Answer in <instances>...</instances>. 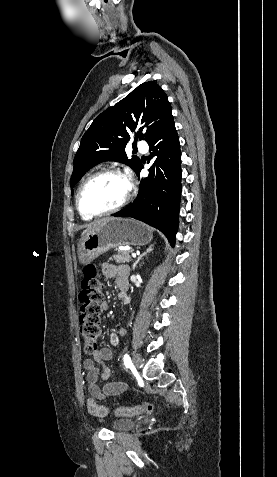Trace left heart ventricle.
<instances>
[{
    "mask_svg": "<svg viewBox=\"0 0 277 477\" xmlns=\"http://www.w3.org/2000/svg\"><path fill=\"white\" fill-rule=\"evenodd\" d=\"M127 181L117 175L106 174L93 179L82 194V207L87 212H101L116 206L127 192Z\"/></svg>",
    "mask_w": 277,
    "mask_h": 477,
    "instance_id": "left-heart-ventricle-1",
    "label": "left heart ventricle"
}]
</instances>
